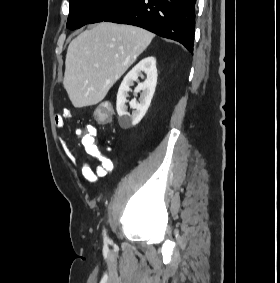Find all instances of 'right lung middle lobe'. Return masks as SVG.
<instances>
[{
  "label": "right lung middle lobe",
  "mask_w": 280,
  "mask_h": 283,
  "mask_svg": "<svg viewBox=\"0 0 280 283\" xmlns=\"http://www.w3.org/2000/svg\"><path fill=\"white\" fill-rule=\"evenodd\" d=\"M132 0H70L67 27L78 29L86 24L104 21Z\"/></svg>",
  "instance_id": "1"
}]
</instances>
